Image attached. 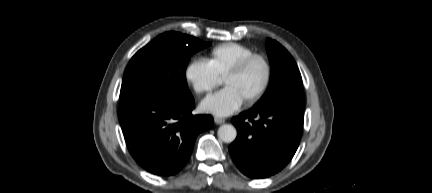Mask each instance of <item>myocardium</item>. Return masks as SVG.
<instances>
[{
	"mask_svg": "<svg viewBox=\"0 0 432 193\" xmlns=\"http://www.w3.org/2000/svg\"><path fill=\"white\" fill-rule=\"evenodd\" d=\"M261 64L264 68V78L262 85L260 89L254 93L253 95L249 96V98L246 100L247 104L251 105L259 101L267 92L271 80H272V66L268 59V57L264 54H254L250 57H248L235 71L228 74L226 77V80H230L232 78L240 76L242 73H244L246 70H248L253 64Z\"/></svg>",
	"mask_w": 432,
	"mask_h": 193,
	"instance_id": "f54148a6",
	"label": "myocardium"
}]
</instances>
